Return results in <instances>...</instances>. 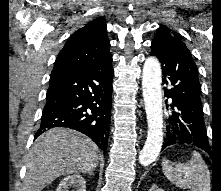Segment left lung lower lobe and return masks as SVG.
<instances>
[{
    "instance_id": "obj_1",
    "label": "left lung lower lobe",
    "mask_w": 221,
    "mask_h": 191,
    "mask_svg": "<svg viewBox=\"0 0 221 191\" xmlns=\"http://www.w3.org/2000/svg\"><path fill=\"white\" fill-rule=\"evenodd\" d=\"M151 55L161 62L162 81L169 87L164 95L172 99L170 106L174 110L168 119L162 150L171 145L190 144L209 151V144H204L207 133L198 69L190 51L178 38L171 42H152Z\"/></svg>"
}]
</instances>
